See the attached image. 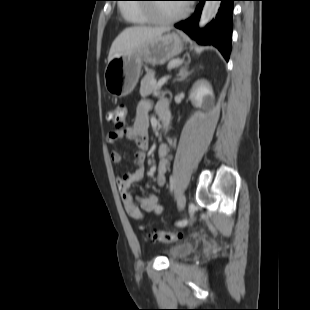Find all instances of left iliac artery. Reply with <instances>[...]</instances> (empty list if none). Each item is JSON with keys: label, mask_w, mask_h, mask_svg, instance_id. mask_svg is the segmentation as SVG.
<instances>
[{"label": "left iliac artery", "mask_w": 310, "mask_h": 310, "mask_svg": "<svg viewBox=\"0 0 310 310\" xmlns=\"http://www.w3.org/2000/svg\"><path fill=\"white\" fill-rule=\"evenodd\" d=\"M174 178L170 179V191L172 192L174 189ZM189 220L187 218H184L182 220H179L176 225L179 227H185L188 224Z\"/></svg>", "instance_id": "obj_1"}]
</instances>
